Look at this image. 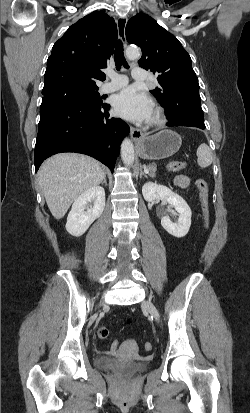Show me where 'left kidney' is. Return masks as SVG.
<instances>
[{
    "mask_svg": "<svg viewBox=\"0 0 250 413\" xmlns=\"http://www.w3.org/2000/svg\"><path fill=\"white\" fill-rule=\"evenodd\" d=\"M142 194L147 202L163 200L178 212L177 222H172L168 216H162L161 218V225L169 234L182 238L188 233L191 226L192 212L181 196L172 192L168 187L153 182H147L143 185Z\"/></svg>",
    "mask_w": 250,
    "mask_h": 413,
    "instance_id": "5707ae66",
    "label": "left kidney"
}]
</instances>
